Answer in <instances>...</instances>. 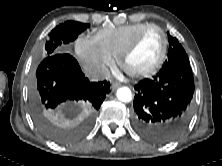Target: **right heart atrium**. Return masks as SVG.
<instances>
[{
	"instance_id": "obj_1",
	"label": "right heart atrium",
	"mask_w": 222,
	"mask_h": 166,
	"mask_svg": "<svg viewBox=\"0 0 222 166\" xmlns=\"http://www.w3.org/2000/svg\"><path fill=\"white\" fill-rule=\"evenodd\" d=\"M75 47L78 58L91 75L102 77L107 74L113 58L102 50L92 37L80 36Z\"/></svg>"
}]
</instances>
